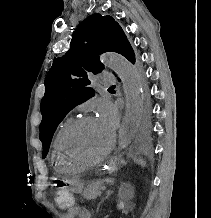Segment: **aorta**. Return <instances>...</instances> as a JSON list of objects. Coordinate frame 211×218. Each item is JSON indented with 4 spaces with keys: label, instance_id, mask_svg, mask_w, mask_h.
Instances as JSON below:
<instances>
[{
    "label": "aorta",
    "instance_id": "1",
    "mask_svg": "<svg viewBox=\"0 0 211 218\" xmlns=\"http://www.w3.org/2000/svg\"><path fill=\"white\" fill-rule=\"evenodd\" d=\"M100 60L120 77L126 96V112L118 135L119 147L133 140L143 111V91L138 74L130 62L116 53H105Z\"/></svg>",
    "mask_w": 211,
    "mask_h": 218
}]
</instances>
